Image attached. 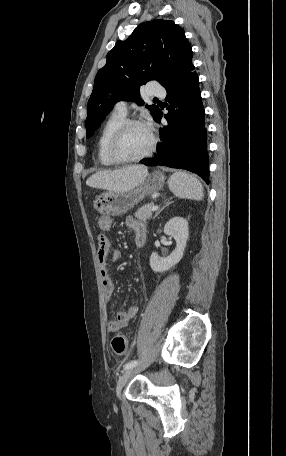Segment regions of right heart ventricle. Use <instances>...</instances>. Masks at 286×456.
I'll return each mask as SVG.
<instances>
[{
    "instance_id": "obj_1",
    "label": "right heart ventricle",
    "mask_w": 286,
    "mask_h": 456,
    "mask_svg": "<svg viewBox=\"0 0 286 456\" xmlns=\"http://www.w3.org/2000/svg\"><path fill=\"white\" fill-rule=\"evenodd\" d=\"M126 119V114L114 110L104 122L97 140V158L104 166H114L118 164L108 153V142L122 121Z\"/></svg>"
}]
</instances>
